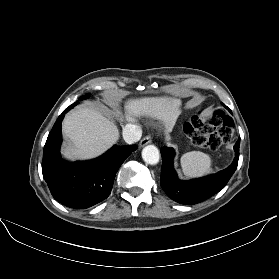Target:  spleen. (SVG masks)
Returning a JSON list of instances; mask_svg holds the SVG:
<instances>
[{
	"mask_svg": "<svg viewBox=\"0 0 279 279\" xmlns=\"http://www.w3.org/2000/svg\"><path fill=\"white\" fill-rule=\"evenodd\" d=\"M211 158L200 151H191L181 157L183 173L188 177H199L207 174L211 169Z\"/></svg>",
	"mask_w": 279,
	"mask_h": 279,
	"instance_id": "3e777b00",
	"label": "spleen"
}]
</instances>
